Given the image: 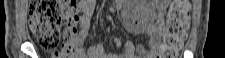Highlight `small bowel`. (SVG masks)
I'll return each mask as SVG.
<instances>
[{
    "mask_svg": "<svg viewBox=\"0 0 225 58\" xmlns=\"http://www.w3.org/2000/svg\"><path fill=\"white\" fill-rule=\"evenodd\" d=\"M95 0H85L80 3L82 9V16L80 20L79 33L74 40L76 47L75 58H138L140 53L144 51V48L140 45L135 46L132 42H122L118 37L114 39V45L118 49H123V53L116 55L106 51L105 46L102 43L95 44L89 49L83 47L84 41L88 36L90 20L95 11ZM168 6L167 1H155L154 7L158 12L157 19L150 24L147 31L150 35L149 42L147 44L148 49L151 51L147 57H154V51L157 49L162 32H163V14Z\"/></svg>",
    "mask_w": 225,
    "mask_h": 58,
    "instance_id": "small-bowel-1",
    "label": "small bowel"
}]
</instances>
